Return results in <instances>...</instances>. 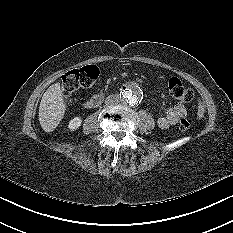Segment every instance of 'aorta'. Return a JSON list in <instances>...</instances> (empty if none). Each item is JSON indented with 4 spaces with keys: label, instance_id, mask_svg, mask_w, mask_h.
Wrapping results in <instances>:
<instances>
[{
    "label": "aorta",
    "instance_id": "1",
    "mask_svg": "<svg viewBox=\"0 0 233 233\" xmlns=\"http://www.w3.org/2000/svg\"><path fill=\"white\" fill-rule=\"evenodd\" d=\"M123 103L129 106H136L142 98V89L137 83H129L121 92Z\"/></svg>",
    "mask_w": 233,
    "mask_h": 233
}]
</instances>
